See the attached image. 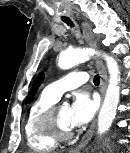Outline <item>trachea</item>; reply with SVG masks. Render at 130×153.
Returning a JSON list of instances; mask_svg holds the SVG:
<instances>
[{"instance_id": "3493384b", "label": "trachea", "mask_w": 130, "mask_h": 153, "mask_svg": "<svg viewBox=\"0 0 130 153\" xmlns=\"http://www.w3.org/2000/svg\"><path fill=\"white\" fill-rule=\"evenodd\" d=\"M62 20H63L65 23H67V25L73 26V23H72V21H71L69 18H63ZM93 82H94V84L97 85V86L100 84V77H99V75H95V76H94Z\"/></svg>"}]
</instances>
